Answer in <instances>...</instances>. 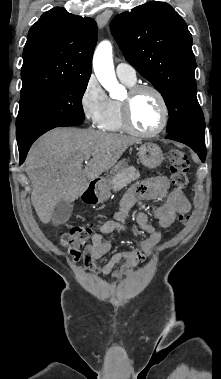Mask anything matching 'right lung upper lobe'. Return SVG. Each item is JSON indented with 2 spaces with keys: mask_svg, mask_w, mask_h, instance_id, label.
Returning <instances> with one entry per match:
<instances>
[{
  "mask_svg": "<svg viewBox=\"0 0 221 379\" xmlns=\"http://www.w3.org/2000/svg\"><path fill=\"white\" fill-rule=\"evenodd\" d=\"M97 26L55 7L31 27L23 51L22 90L37 86L90 78Z\"/></svg>",
  "mask_w": 221,
  "mask_h": 379,
  "instance_id": "1",
  "label": "right lung upper lobe"
}]
</instances>
